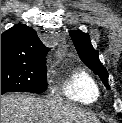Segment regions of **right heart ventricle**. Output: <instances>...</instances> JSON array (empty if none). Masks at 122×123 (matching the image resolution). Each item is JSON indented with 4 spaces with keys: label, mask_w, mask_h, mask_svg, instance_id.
Listing matches in <instances>:
<instances>
[{
    "label": "right heart ventricle",
    "mask_w": 122,
    "mask_h": 123,
    "mask_svg": "<svg viewBox=\"0 0 122 123\" xmlns=\"http://www.w3.org/2000/svg\"><path fill=\"white\" fill-rule=\"evenodd\" d=\"M59 93L66 99L79 104H92L100 96L93 76L84 69L69 72L59 85Z\"/></svg>",
    "instance_id": "1"
}]
</instances>
